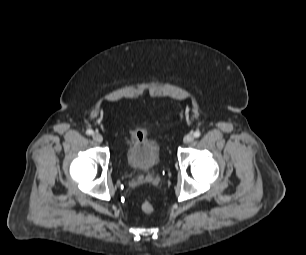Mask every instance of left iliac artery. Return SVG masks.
Segmentation results:
<instances>
[{
  "label": "left iliac artery",
  "mask_w": 306,
  "mask_h": 255,
  "mask_svg": "<svg viewBox=\"0 0 306 255\" xmlns=\"http://www.w3.org/2000/svg\"><path fill=\"white\" fill-rule=\"evenodd\" d=\"M200 135H201L200 131L197 130V131L194 132V137L198 138V137H200Z\"/></svg>",
  "instance_id": "1"
}]
</instances>
